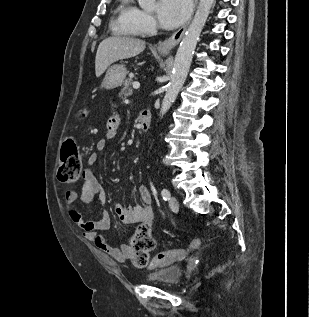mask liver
<instances>
[{
	"label": "liver",
	"instance_id": "1",
	"mask_svg": "<svg viewBox=\"0 0 309 317\" xmlns=\"http://www.w3.org/2000/svg\"><path fill=\"white\" fill-rule=\"evenodd\" d=\"M145 49V41L129 37H108L98 46L95 74L100 77L114 62L134 57Z\"/></svg>",
	"mask_w": 309,
	"mask_h": 317
}]
</instances>
